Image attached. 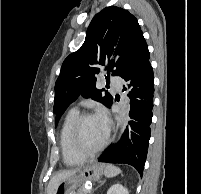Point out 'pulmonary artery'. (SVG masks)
Here are the masks:
<instances>
[{
    "instance_id": "1",
    "label": "pulmonary artery",
    "mask_w": 201,
    "mask_h": 194,
    "mask_svg": "<svg viewBox=\"0 0 201 194\" xmlns=\"http://www.w3.org/2000/svg\"><path fill=\"white\" fill-rule=\"evenodd\" d=\"M110 80L116 90L120 91L122 89V79L120 77L112 76Z\"/></svg>"
}]
</instances>
